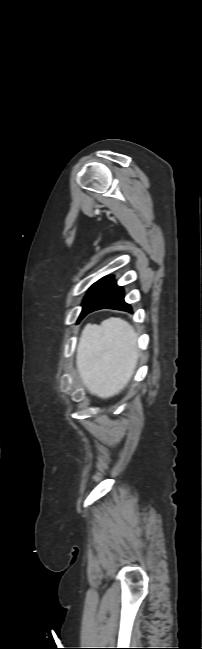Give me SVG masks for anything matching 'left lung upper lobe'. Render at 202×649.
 I'll use <instances>...</instances> for the list:
<instances>
[{
  "label": "left lung upper lobe",
  "instance_id": "1",
  "mask_svg": "<svg viewBox=\"0 0 202 649\" xmlns=\"http://www.w3.org/2000/svg\"><path fill=\"white\" fill-rule=\"evenodd\" d=\"M112 279L113 276L104 277L91 286L87 295L84 297L82 303L83 310L81 312V315L83 314L84 310L102 293V291L108 286Z\"/></svg>",
  "mask_w": 202,
  "mask_h": 649
}]
</instances>
